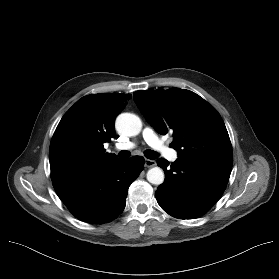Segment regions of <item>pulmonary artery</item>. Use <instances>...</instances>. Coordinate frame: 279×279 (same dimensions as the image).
<instances>
[{
	"label": "pulmonary artery",
	"mask_w": 279,
	"mask_h": 279,
	"mask_svg": "<svg viewBox=\"0 0 279 279\" xmlns=\"http://www.w3.org/2000/svg\"><path fill=\"white\" fill-rule=\"evenodd\" d=\"M142 137L144 141L156 150L158 153L164 155L170 161H176L178 158V153L175 150L169 149L156 135L154 130L150 127H146L143 129ZM135 142H127L124 144H120L116 146V149H131L135 147Z\"/></svg>",
	"instance_id": "pulmonary-artery-1"
}]
</instances>
